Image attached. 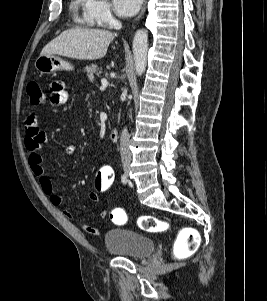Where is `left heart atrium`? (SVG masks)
<instances>
[{"instance_id":"1","label":"left heart atrium","mask_w":267,"mask_h":301,"mask_svg":"<svg viewBox=\"0 0 267 301\" xmlns=\"http://www.w3.org/2000/svg\"><path fill=\"white\" fill-rule=\"evenodd\" d=\"M116 13L121 17L135 15L142 4V0H113Z\"/></svg>"}]
</instances>
